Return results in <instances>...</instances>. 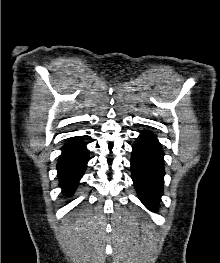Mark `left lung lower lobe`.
Masks as SVG:
<instances>
[{
    "label": "left lung lower lobe",
    "instance_id": "obj_1",
    "mask_svg": "<svg viewBox=\"0 0 220 263\" xmlns=\"http://www.w3.org/2000/svg\"><path fill=\"white\" fill-rule=\"evenodd\" d=\"M131 170L141 202L156 211L163 193L164 165L161 145L152 132H141L132 148Z\"/></svg>",
    "mask_w": 220,
    "mask_h": 263
}]
</instances>
